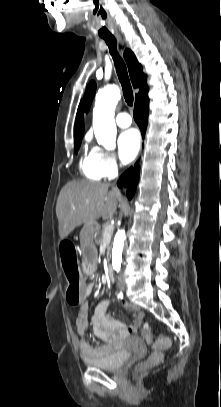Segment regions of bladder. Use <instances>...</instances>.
Returning <instances> with one entry per match:
<instances>
[{
  "label": "bladder",
  "mask_w": 221,
  "mask_h": 407,
  "mask_svg": "<svg viewBox=\"0 0 221 407\" xmlns=\"http://www.w3.org/2000/svg\"><path fill=\"white\" fill-rule=\"evenodd\" d=\"M131 342L134 344L133 350L117 349L109 354L100 357L85 360L88 366L95 367L105 371H116L120 369L131 357L133 352L144 353L145 344L140 338H132Z\"/></svg>",
  "instance_id": "obj_1"
}]
</instances>
